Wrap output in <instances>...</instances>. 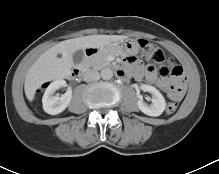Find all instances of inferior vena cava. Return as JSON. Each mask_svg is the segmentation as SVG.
<instances>
[{
  "label": "inferior vena cava",
  "instance_id": "602c4592",
  "mask_svg": "<svg viewBox=\"0 0 219 174\" xmlns=\"http://www.w3.org/2000/svg\"><path fill=\"white\" fill-rule=\"evenodd\" d=\"M83 79L85 82L97 81L100 79V74L96 70H88L84 73Z\"/></svg>",
  "mask_w": 219,
  "mask_h": 174
}]
</instances>
